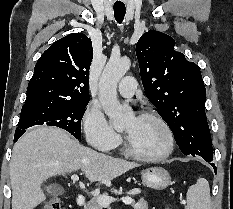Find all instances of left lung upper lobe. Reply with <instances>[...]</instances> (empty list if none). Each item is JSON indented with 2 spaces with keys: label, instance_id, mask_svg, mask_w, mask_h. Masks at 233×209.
Returning a JSON list of instances; mask_svg holds the SVG:
<instances>
[{
  "label": "left lung upper lobe",
  "instance_id": "obj_1",
  "mask_svg": "<svg viewBox=\"0 0 233 209\" xmlns=\"http://www.w3.org/2000/svg\"><path fill=\"white\" fill-rule=\"evenodd\" d=\"M174 46V39L159 31L149 30L141 36L136 55L143 87L182 153L213 158L200 69Z\"/></svg>",
  "mask_w": 233,
  "mask_h": 209
}]
</instances>
